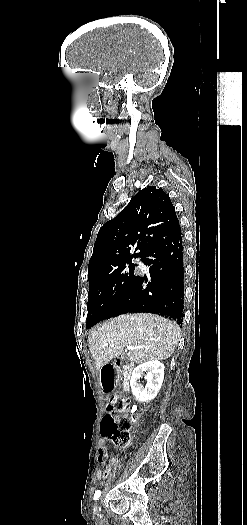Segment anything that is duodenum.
<instances>
[{
    "label": "duodenum",
    "instance_id": "duodenum-1",
    "mask_svg": "<svg viewBox=\"0 0 247 525\" xmlns=\"http://www.w3.org/2000/svg\"><path fill=\"white\" fill-rule=\"evenodd\" d=\"M132 369V364L124 358H118L103 365L100 371L103 391L110 393L114 389L117 382L116 372H120L123 376L124 390H129Z\"/></svg>",
    "mask_w": 247,
    "mask_h": 525
}]
</instances>
